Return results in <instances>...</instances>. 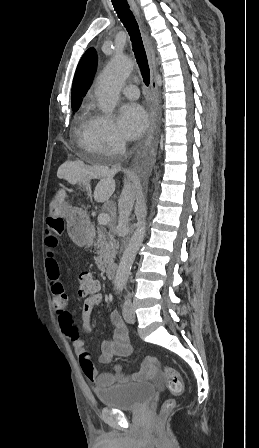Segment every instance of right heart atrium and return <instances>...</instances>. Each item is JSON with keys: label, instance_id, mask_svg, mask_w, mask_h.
I'll list each match as a JSON object with an SVG mask.
<instances>
[{"label": "right heart atrium", "instance_id": "1", "mask_svg": "<svg viewBox=\"0 0 259 448\" xmlns=\"http://www.w3.org/2000/svg\"><path fill=\"white\" fill-rule=\"evenodd\" d=\"M125 140L114 119L103 114L99 116L94 134V152L101 157H119L125 149ZM89 151V150H88Z\"/></svg>", "mask_w": 259, "mask_h": 448}]
</instances>
